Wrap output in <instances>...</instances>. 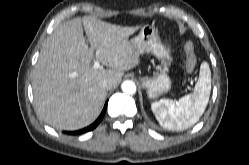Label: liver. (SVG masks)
<instances>
[{
	"mask_svg": "<svg viewBox=\"0 0 249 165\" xmlns=\"http://www.w3.org/2000/svg\"><path fill=\"white\" fill-rule=\"evenodd\" d=\"M84 27L90 46L85 42ZM138 27H121L95 17L74 18L60 25L46 40L33 71L34 104L39 117L60 130L90 125L106 98L104 79L112 88L124 71L140 63L128 40ZM93 60L110 69H94Z\"/></svg>",
	"mask_w": 249,
	"mask_h": 165,
	"instance_id": "liver-1",
	"label": "liver"
}]
</instances>
